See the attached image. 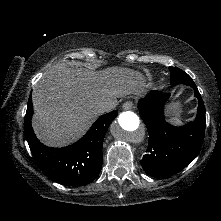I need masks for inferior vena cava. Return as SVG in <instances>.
Wrapping results in <instances>:
<instances>
[{
  "label": "inferior vena cava",
  "instance_id": "602c4592",
  "mask_svg": "<svg viewBox=\"0 0 221 221\" xmlns=\"http://www.w3.org/2000/svg\"><path fill=\"white\" fill-rule=\"evenodd\" d=\"M114 108V105L111 103H102L101 105H99L97 111L99 114L105 113V112H109Z\"/></svg>",
  "mask_w": 221,
  "mask_h": 221
}]
</instances>
